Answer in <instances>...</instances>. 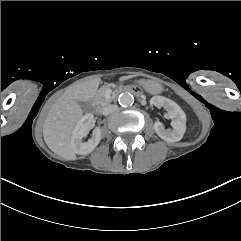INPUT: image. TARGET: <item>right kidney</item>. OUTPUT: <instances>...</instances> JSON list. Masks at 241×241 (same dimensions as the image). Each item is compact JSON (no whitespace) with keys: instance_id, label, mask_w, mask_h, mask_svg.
<instances>
[{"instance_id":"1","label":"right kidney","mask_w":241,"mask_h":241,"mask_svg":"<svg viewBox=\"0 0 241 241\" xmlns=\"http://www.w3.org/2000/svg\"><path fill=\"white\" fill-rule=\"evenodd\" d=\"M93 120V114H86L80 119L73 131L71 146L73 151L78 155L91 153L101 141V128L96 127L92 131V139L87 143L82 142V139L89 132Z\"/></svg>"}]
</instances>
